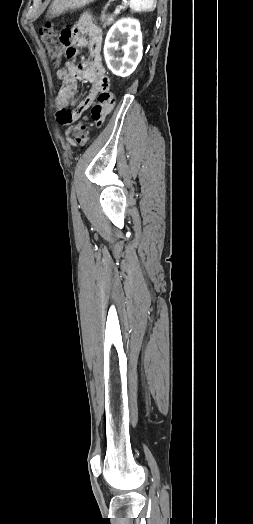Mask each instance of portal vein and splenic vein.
Wrapping results in <instances>:
<instances>
[{"label": "portal vein and splenic vein", "instance_id": "portal-vein-and-splenic-vein-1", "mask_svg": "<svg viewBox=\"0 0 253 524\" xmlns=\"http://www.w3.org/2000/svg\"><path fill=\"white\" fill-rule=\"evenodd\" d=\"M121 9H122V6L117 7V8L115 9L114 13H115V14H119L120 11H121Z\"/></svg>", "mask_w": 253, "mask_h": 524}]
</instances>
